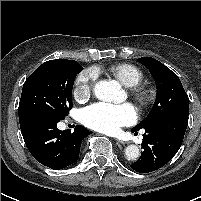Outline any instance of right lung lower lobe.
Instances as JSON below:
<instances>
[{
    "instance_id": "98d812e1",
    "label": "right lung lower lobe",
    "mask_w": 201,
    "mask_h": 201,
    "mask_svg": "<svg viewBox=\"0 0 201 201\" xmlns=\"http://www.w3.org/2000/svg\"><path fill=\"white\" fill-rule=\"evenodd\" d=\"M60 119L48 114H36L21 121V132L32 156L51 169H62L79 158L82 140L91 132L82 126L61 131L57 128Z\"/></svg>"
}]
</instances>
